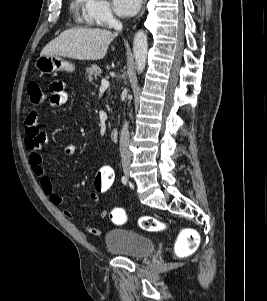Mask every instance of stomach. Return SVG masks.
Segmentation results:
<instances>
[{"instance_id":"0dacf381","label":"stomach","mask_w":267,"mask_h":301,"mask_svg":"<svg viewBox=\"0 0 267 301\" xmlns=\"http://www.w3.org/2000/svg\"><path fill=\"white\" fill-rule=\"evenodd\" d=\"M35 67L41 73L46 74L58 71L73 72L75 70V66L72 63L57 56H40L35 62Z\"/></svg>"}]
</instances>
